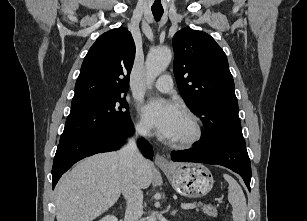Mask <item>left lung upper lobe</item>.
Wrapping results in <instances>:
<instances>
[{"mask_svg": "<svg viewBox=\"0 0 307 221\" xmlns=\"http://www.w3.org/2000/svg\"><path fill=\"white\" fill-rule=\"evenodd\" d=\"M174 75L189 109L198 115L205 134L245 146L233 77L227 57L205 32L184 28L173 38Z\"/></svg>", "mask_w": 307, "mask_h": 221, "instance_id": "1", "label": "left lung upper lobe"}]
</instances>
